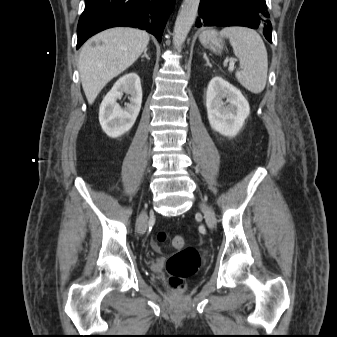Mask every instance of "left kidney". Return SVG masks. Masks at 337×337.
I'll list each match as a JSON object with an SVG mask.
<instances>
[{
    "mask_svg": "<svg viewBox=\"0 0 337 337\" xmlns=\"http://www.w3.org/2000/svg\"><path fill=\"white\" fill-rule=\"evenodd\" d=\"M206 107L212 129L228 137L238 134L250 114L249 103L242 93L219 76L209 82Z\"/></svg>",
    "mask_w": 337,
    "mask_h": 337,
    "instance_id": "1",
    "label": "left kidney"
}]
</instances>
